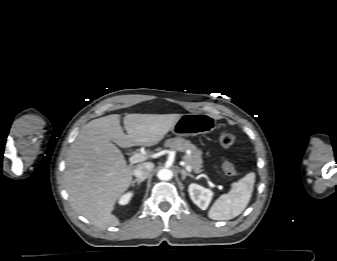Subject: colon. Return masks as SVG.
I'll use <instances>...</instances> for the list:
<instances>
[{
	"label": "colon",
	"instance_id": "1",
	"mask_svg": "<svg viewBox=\"0 0 337 261\" xmlns=\"http://www.w3.org/2000/svg\"><path fill=\"white\" fill-rule=\"evenodd\" d=\"M235 138L231 133L223 132L218 137V142L221 147L229 148L234 144ZM224 172L231 177H236L239 175V171L236 167L228 161H225L222 165Z\"/></svg>",
	"mask_w": 337,
	"mask_h": 261
}]
</instances>
